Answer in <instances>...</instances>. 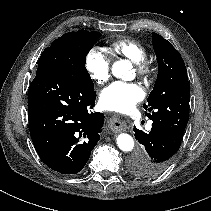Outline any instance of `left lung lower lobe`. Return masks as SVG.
<instances>
[{
    "label": "left lung lower lobe",
    "instance_id": "left-lung-lower-lobe-1",
    "mask_svg": "<svg viewBox=\"0 0 211 211\" xmlns=\"http://www.w3.org/2000/svg\"><path fill=\"white\" fill-rule=\"evenodd\" d=\"M134 132L145 152H137L130 158L131 172L142 178L161 174L171 164L179 150L183 134L162 122H153L148 133L136 127Z\"/></svg>",
    "mask_w": 211,
    "mask_h": 211
}]
</instances>
